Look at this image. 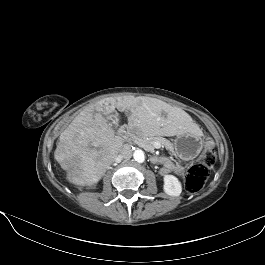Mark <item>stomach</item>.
I'll return each mask as SVG.
<instances>
[{
    "label": "stomach",
    "mask_w": 265,
    "mask_h": 265,
    "mask_svg": "<svg viewBox=\"0 0 265 265\" xmlns=\"http://www.w3.org/2000/svg\"><path fill=\"white\" fill-rule=\"evenodd\" d=\"M202 147L201 137L190 132L176 135L174 139L175 153L183 160H192L197 157Z\"/></svg>",
    "instance_id": "1"
}]
</instances>
